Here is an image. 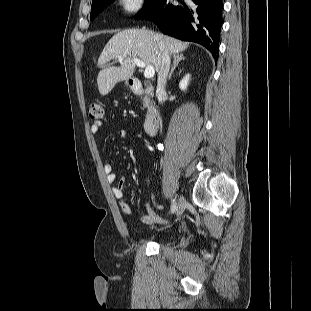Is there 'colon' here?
Masks as SVG:
<instances>
[{
  "mask_svg": "<svg viewBox=\"0 0 311 311\" xmlns=\"http://www.w3.org/2000/svg\"><path fill=\"white\" fill-rule=\"evenodd\" d=\"M88 115L93 121H100L104 116L103 105L99 101H92L88 107Z\"/></svg>",
  "mask_w": 311,
  "mask_h": 311,
  "instance_id": "colon-1",
  "label": "colon"
}]
</instances>
